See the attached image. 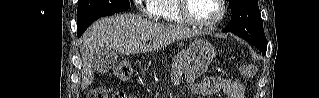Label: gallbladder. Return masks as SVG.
I'll return each mask as SVG.
<instances>
[{
	"label": "gallbladder",
	"mask_w": 319,
	"mask_h": 98,
	"mask_svg": "<svg viewBox=\"0 0 319 98\" xmlns=\"http://www.w3.org/2000/svg\"><path fill=\"white\" fill-rule=\"evenodd\" d=\"M118 54L113 50H99L92 58V66L99 73H106L115 67Z\"/></svg>",
	"instance_id": "1"
}]
</instances>
